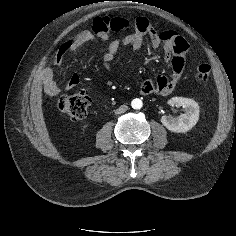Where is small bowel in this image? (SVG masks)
<instances>
[{
    "label": "small bowel",
    "mask_w": 236,
    "mask_h": 236,
    "mask_svg": "<svg viewBox=\"0 0 236 236\" xmlns=\"http://www.w3.org/2000/svg\"><path fill=\"white\" fill-rule=\"evenodd\" d=\"M109 22V19H105ZM106 26V24H104ZM110 30L103 26L93 27L91 30L80 31L73 39L65 41L57 51L54 59V67H60L64 61V57L77 49L79 46L90 41L107 42L110 38ZM148 38L153 48H164V60L170 62L172 68L171 76L160 75L153 80H146L140 86V93L143 95H169L175 89L177 83L181 79L185 58L189 51L187 40L172 30L156 31L146 18H141L135 23V30L123 38L110 41L103 53L102 68L109 71L111 62L115 58L117 52L122 45L130 46L134 51L141 49L145 39ZM41 79L44 84L46 93L51 96H57L64 90L74 88L79 84V76L73 75L64 84L60 85L56 82L54 76V68L46 67L41 73Z\"/></svg>",
    "instance_id": "c3829d8e"
}]
</instances>
